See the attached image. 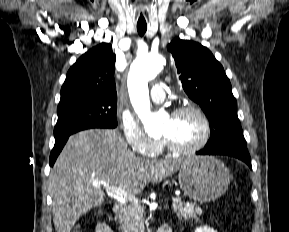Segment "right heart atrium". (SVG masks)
<instances>
[{
    "mask_svg": "<svg viewBox=\"0 0 289 232\" xmlns=\"http://www.w3.org/2000/svg\"><path fill=\"white\" fill-rule=\"evenodd\" d=\"M121 128L130 148L141 155L156 156L161 148L162 141L149 137L131 116H123Z\"/></svg>",
    "mask_w": 289,
    "mask_h": 232,
    "instance_id": "1",
    "label": "right heart atrium"
}]
</instances>
